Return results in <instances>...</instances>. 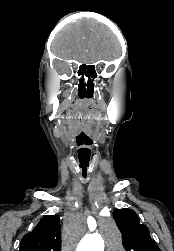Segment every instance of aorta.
<instances>
[{"label":"aorta","mask_w":174,"mask_h":251,"mask_svg":"<svg viewBox=\"0 0 174 251\" xmlns=\"http://www.w3.org/2000/svg\"><path fill=\"white\" fill-rule=\"evenodd\" d=\"M104 237L105 241L99 236L87 235L78 244L76 251H104L105 246L109 250H120L121 236L114 225L104 230Z\"/></svg>","instance_id":"762f6f07"}]
</instances>
